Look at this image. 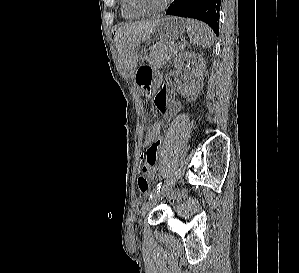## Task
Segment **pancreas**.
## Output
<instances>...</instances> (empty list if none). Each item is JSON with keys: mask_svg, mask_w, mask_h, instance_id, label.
Segmentation results:
<instances>
[{"mask_svg": "<svg viewBox=\"0 0 299 273\" xmlns=\"http://www.w3.org/2000/svg\"><path fill=\"white\" fill-rule=\"evenodd\" d=\"M181 47L180 43H157L151 48L148 62L152 67H162Z\"/></svg>", "mask_w": 299, "mask_h": 273, "instance_id": "pancreas-1", "label": "pancreas"}]
</instances>
